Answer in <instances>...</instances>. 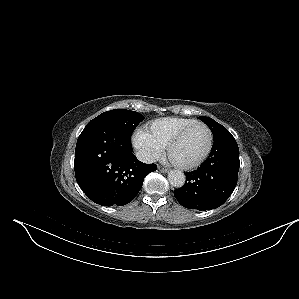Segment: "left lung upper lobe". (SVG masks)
Returning a JSON list of instances; mask_svg holds the SVG:
<instances>
[{
  "label": "left lung upper lobe",
  "instance_id": "1",
  "mask_svg": "<svg viewBox=\"0 0 299 299\" xmlns=\"http://www.w3.org/2000/svg\"><path fill=\"white\" fill-rule=\"evenodd\" d=\"M200 120H202L212 131L213 136L217 135L218 133L227 130L224 126L217 123L215 120L209 117H198Z\"/></svg>",
  "mask_w": 299,
  "mask_h": 299
}]
</instances>
